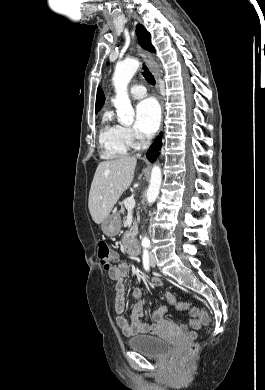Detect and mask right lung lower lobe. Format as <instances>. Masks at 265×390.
Segmentation results:
<instances>
[{
    "mask_svg": "<svg viewBox=\"0 0 265 390\" xmlns=\"http://www.w3.org/2000/svg\"><path fill=\"white\" fill-rule=\"evenodd\" d=\"M161 140H162L161 136H158L155 139L152 146L150 147V149L148 150L147 158L149 159L150 162H154L159 156V151L161 150V146H162Z\"/></svg>",
    "mask_w": 265,
    "mask_h": 390,
    "instance_id": "98d812e1",
    "label": "right lung lower lobe"
}]
</instances>
